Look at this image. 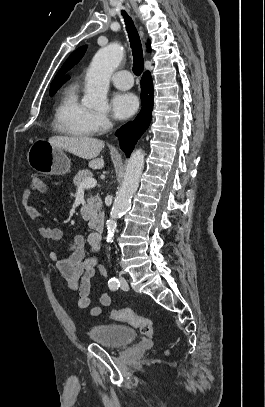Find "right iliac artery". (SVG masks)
Returning a JSON list of instances; mask_svg holds the SVG:
<instances>
[{"instance_id":"82829eb1","label":"right iliac artery","mask_w":265,"mask_h":407,"mask_svg":"<svg viewBox=\"0 0 265 407\" xmlns=\"http://www.w3.org/2000/svg\"><path fill=\"white\" fill-rule=\"evenodd\" d=\"M108 286L112 291H116L120 287V282L116 278H111L108 281Z\"/></svg>"}]
</instances>
